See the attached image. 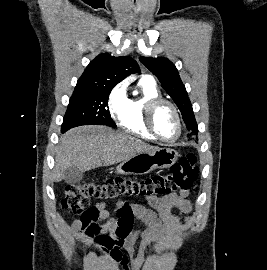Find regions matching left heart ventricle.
I'll return each instance as SVG.
<instances>
[{
	"label": "left heart ventricle",
	"instance_id": "obj_1",
	"mask_svg": "<svg viewBox=\"0 0 267 270\" xmlns=\"http://www.w3.org/2000/svg\"><path fill=\"white\" fill-rule=\"evenodd\" d=\"M154 124L158 134L165 139H173L178 132L175 113L168 105H161L155 112Z\"/></svg>",
	"mask_w": 267,
	"mask_h": 270
}]
</instances>
